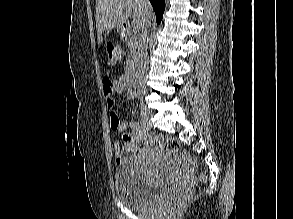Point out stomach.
<instances>
[{
  "mask_svg": "<svg viewBox=\"0 0 293 219\" xmlns=\"http://www.w3.org/2000/svg\"><path fill=\"white\" fill-rule=\"evenodd\" d=\"M122 31V29L121 28H117V32H121Z\"/></svg>",
  "mask_w": 293,
  "mask_h": 219,
  "instance_id": "obj_1",
  "label": "stomach"
}]
</instances>
